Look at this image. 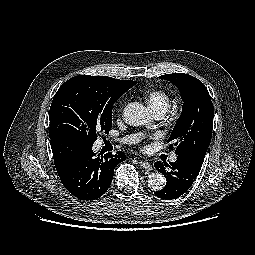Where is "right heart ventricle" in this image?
Wrapping results in <instances>:
<instances>
[{"label": "right heart ventricle", "instance_id": "e07e8e85", "mask_svg": "<svg viewBox=\"0 0 255 255\" xmlns=\"http://www.w3.org/2000/svg\"><path fill=\"white\" fill-rule=\"evenodd\" d=\"M145 101L154 112H167L171 105L170 96L163 90L156 89L145 95Z\"/></svg>", "mask_w": 255, "mask_h": 255}]
</instances>
